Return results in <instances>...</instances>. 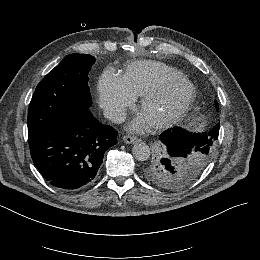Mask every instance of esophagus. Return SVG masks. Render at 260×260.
I'll use <instances>...</instances> for the list:
<instances>
[{
    "instance_id": "34e87169",
    "label": "esophagus",
    "mask_w": 260,
    "mask_h": 260,
    "mask_svg": "<svg viewBox=\"0 0 260 260\" xmlns=\"http://www.w3.org/2000/svg\"><path fill=\"white\" fill-rule=\"evenodd\" d=\"M123 141L127 144H134L137 143L139 141V139L135 136H124L123 137Z\"/></svg>"
}]
</instances>
